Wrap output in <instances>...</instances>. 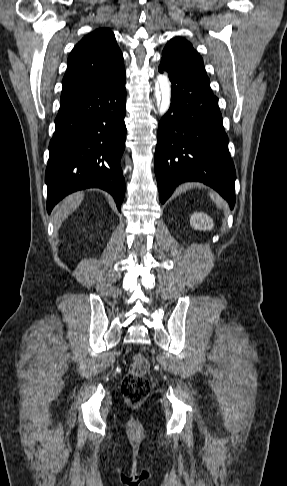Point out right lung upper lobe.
I'll list each match as a JSON object with an SVG mask.
<instances>
[{"mask_svg":"<svg viewBox=\"0 0 287 486\" xmlns=\"http://www.w3.org/2000/svg\"><path fill=\"white\" fill-rule=\"evenodd\" d=\"M124 77L123 55L113 32L97 29L86 35L68 57L61 104Z\"/></svg>","mask_w":287,"mask_h":486,"instance_id":"right-lung-upper-lobe-1","label":"right lung upper lobe"}]
</instances>
